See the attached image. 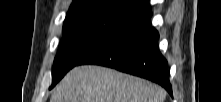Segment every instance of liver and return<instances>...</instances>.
Returning <instances> with one entry per match:
<instances>
[{"label": "liver", "instance_id": "obj_1", "mask_svg": "<svg viewBox=\"0 0 221 102\" xmlns=\"http://www.w3.org/2000/svg\"><path fill=\"white\" fill-rule=\"evenodd\" d=\"M163 88L100 66L72 69L56 86L50 102H164Z\"/></svg>", "mask_w": 221, "mask_h": 102}]
</instances>
